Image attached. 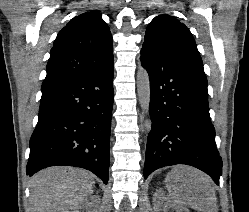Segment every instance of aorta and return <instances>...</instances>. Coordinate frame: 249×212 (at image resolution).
Returning a JSON list of instances; mask_svg holds the SVG:
<instances>
[{"mask_svg": "<svg viewBox=\"0 0 249 212\" xmlns=\"http://www.w3.org/2000/svg\"><path fill=\"white\" fill-rule=\"evenodd\" d=\"M137 93L142 110L148 113L150 108V79L148 72L143 68H139L137 71Z\"/></svg>", "mask_w": 249, "mask_h": 212, "instance_id": "1", "label": "aorta"}]
</instances>
